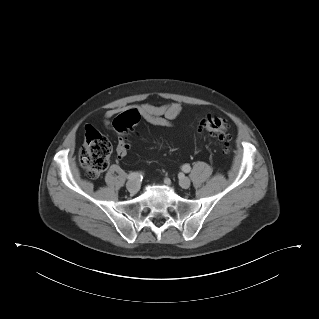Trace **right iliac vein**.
<instances>
[{"instance_id": "63e3f726", "label": "right iliac vein", "mask_w": 319, "mask_h": 319, "mask_svg": "<svg viewBox=\"0 0 319 319\" xmlns=\"http://www.w3.org/2000/svg\"><path fill=\"white\" fill-rule=\"evenodd\" d=\"M126 187L130 193H137L140 188V184L137 181L132 180L127 182Z\"/></svg>"}]
</instances>
